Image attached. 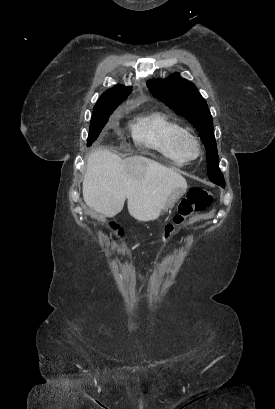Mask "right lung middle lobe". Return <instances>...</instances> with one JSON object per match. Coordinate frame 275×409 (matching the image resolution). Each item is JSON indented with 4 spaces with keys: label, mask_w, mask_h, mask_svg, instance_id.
<instances>
[{
    "label": "right lung middle lobe",
    "mask_w": 275,
    "mask_h": 409,
    "mask_svg": "<svg viewBox=\"0 0 275 409\" xmlns=\"http://www.w3.org/2000/svg\"><path fill=\"white\" fill-rule=\"evenodd\" d=\"M114 110L115 109H109L93 112L90 123L87 146H91L92 142H94L97 139L103 127L108 122L109 116L112 114Z\"/></svg>",
    "instance_id": "dd1d6c3e"
}]
</instances>
